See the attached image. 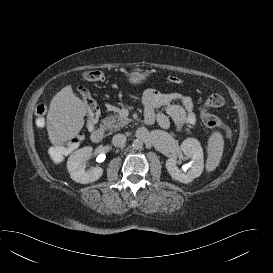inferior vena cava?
I'll return each instance as SVG.
<instances>
[{"label":"inferior vena cava","instance_id":"inferior-vena-cava-1","mask_svg":"<svg viewBox=\"0 0 273 273\" xmlns=\"http://www.w3.org/2000/svg\"><path fill=\"white\" fill-rule=\"evenodd\" d=\"M112 143L116 147H122L126 143V136L124 134H116L112 138Z\"/></svg>","mask_w":273,"mask_h":273}]
</instances>
